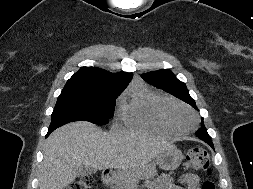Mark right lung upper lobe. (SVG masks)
Returning a JSON list of instances; mask_svg holds the SVG:
<instances>
[{"label":"right lung upper lobe","instance_id":"1","mask_svg":"<svg viewBox=\"0 0 253 189\" xmlns=\"http://www.w3.org/2000/svg\"><path fill=\"white\" fill-rule=\"evenodd\" d=\"M132 73H110L100 68L81 67L66 83L63 90H124Z\"/></svg>","mask_w":253,"mask_h":189}]
</instances>
